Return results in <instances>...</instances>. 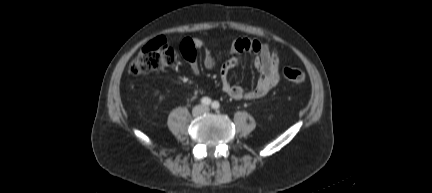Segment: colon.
<instances>
[{
  "instance_id": "colon-1",
  "label": "colon",
  "mask_w": 432,
  "mask_h": 193,
  "mask_svg": "<svg viewBox=\"0 0 432 193\" xmlns=\"http://www.w3.org/2000/svg\"><path fill=\"white\" fill-rule=\"evenodd\" d=\"M176 59L175 49L162 37H157L148 42L132 60L128 71L134 75H146L171 65ZM285 81L294 84H303L306 80L305 73L297 68L286 67L283 69Z\"/></svg>"
}]
</instances>
